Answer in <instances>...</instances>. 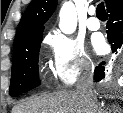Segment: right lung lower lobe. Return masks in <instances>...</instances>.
I'll return each instance as SVG.
<instances>
[{
	"label": "right lung lower lobe",
	"instance_id": "right-lung-lower-lobe-1",
	"mask_svg": "<svg viewBox=\"0 0 123 113\" xmlns=\"http://www.w3.org/2000/svg\"><path fill=\"white\" fill-rule=\"evenodd\" d=\"M109 13V21L107 23L108 41L111 44L112 52L117 50L123 44V0H111L107 5ZM102 62L100 65H104ZM104 66H97L94 71V79L96 82L101 81L105 77Z\"/></svg>",
	"mask_w": 123,
	"mask_h": 113
}]
</instances>
